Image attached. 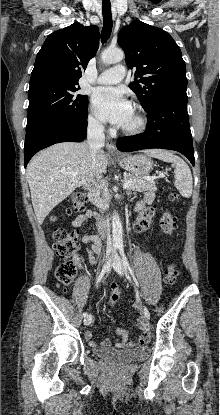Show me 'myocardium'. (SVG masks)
<instances>
[{"instance_id":"obj_1","label":"myocardium","mask_w":220,"mask_h":415,"mask_svg":"<svg viewBox=\"0 0 220 415\" xmlns=\"http://www.w3.org/2000/svg\"><path fill=\"white\" fill-rule=\"evenodd\" d=\"M134 114L136 117V121L133 125L130 126H122V131L127 134H139L146 129L147 126V119L144 112L139 108H134Z\"/></svg>"}]
</instances>
